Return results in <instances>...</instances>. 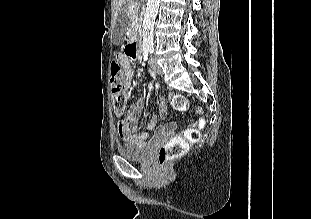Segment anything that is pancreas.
I'll return each instance as SVG.
<instances>
[{"instance_id":"cf45deb5","label":"pancreas","mask_w":311,"mask_h":219,"mask_svg":"<svg viewBox=\"0 0 311 219\" xmlns=\"http://www.w3.org/2000/svg\"><path fill=\"white\" fill-rule=\"evenodd\" d=\"M142 6L143 5L141 3H136L128 11L131 19L129 29L132 33H136L137 30L140 28L143 14L141 10Z\"/></svg>"}]
</instances>
